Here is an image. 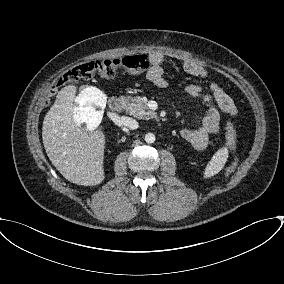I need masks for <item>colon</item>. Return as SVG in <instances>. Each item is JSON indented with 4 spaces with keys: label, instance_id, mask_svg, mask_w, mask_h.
I'll use <instances>...</instances> for the list:
<instances>
[{
    "label": "colon",
    "instance_id": "obj_1",
    "mask_svg": "<svg viewBox=\"0 0 284 284\" xmlns=\"http://www.w3.org/2000/svg\"><path fill=\"white\" fill-rule=\"evenodd\" d=\"M150 68V61L145 55H131L113 59H104L87 62L67 71L52 87L51 92L55 93L61 86L78 82L81 80H91L96 77L110 79L119 73L140 74ZM227 145L231 152V160L226 167V173L231 174L237 166L236 156V133L234 123L230 120L226 122Z\"/></svg>",
    "mask_w": 284,
    "mask_h": 284
}]
</instances>
